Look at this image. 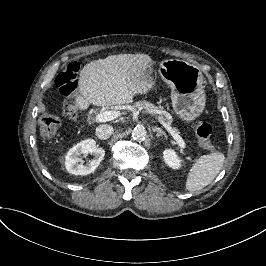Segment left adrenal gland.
<instances>
[{
	"instance_id": "left-adrenal-gland-1",
	"label": "left adrenal gland",
	"mask_w": 266,
	"mask_h": 266,
	"mask_svg": "<svg viewBox=\"0 0 266 266\" xmlns=\"http://www.w3.org/2000/svg\"><path fill=\"white\" fill-rule=\"evenodd\" d=\"M152 130L154 132H157V134H156L157 137L164 136L165 139L168 138L167 134L161 128L155 126Z\"/></svg>"
}]
</instances>
